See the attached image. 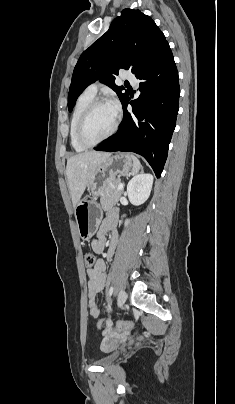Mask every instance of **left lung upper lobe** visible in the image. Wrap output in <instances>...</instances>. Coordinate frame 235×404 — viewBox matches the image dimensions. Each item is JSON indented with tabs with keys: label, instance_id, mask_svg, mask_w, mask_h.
<instances>
[{
	"label": "left lung upper lobe",
	"instance_id": "obj_1",
	"mask_svg": "<svg viewBox=\"0 0 235 404\" xmlns=\"http://www.w3.org/2000/svg\"><path fill=\"white\" fill-rule=\"evenodd\" d=\"M166 44L164 34L149 16L124 9L108 31L81 54L69 89V111L82 91L97 80L112 88L123 103L128 93L115 84L118 70L130 69L135 74Z\"/></svg>",
	"mask_w": 235,
	"mask_h": 404
}]
</instances>
